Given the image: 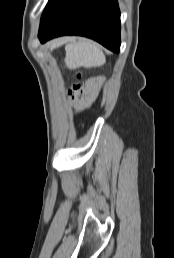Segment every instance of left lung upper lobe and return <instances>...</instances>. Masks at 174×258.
I'll list each match as a JSON object with an SVG mask.
<instances>
[{
	"instance_id": "obj_1",
	"label": "left lung upper lobe",
	"mask_w": 174,
	"mask_h": 258,
	"mask_svg": "<svg viewBox=\"0 0 174 258\" xmlns=\"http://www.w3.org/2000/svg\"><path fill=\"white\" fill-rule=\"evenodd\" d=\"M58 0H49L43 14H42V17H41V22L45 19V17L48 15V13L50 12V10L52 9V7L55 5V3L57 2Z\"/></svg>"
}]
</instances>
